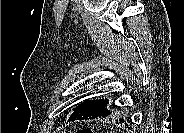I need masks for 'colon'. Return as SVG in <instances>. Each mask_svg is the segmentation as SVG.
Listing matches in <instances>:
<instances>
[{"mask_svg":"<svg viewBox=\"0 0 184 133\" xmlns=\"http://www.w3.org/2000/svg\"><path fill=\"white\" fill-rule=\"evenodd\" d=\"M79 133H92V131L90 129L87 128H82L78 130Z\"/></svg>","mask_w":184,"mask_h":133,"instance_id":"1","label":"colon"}]
</instances>
